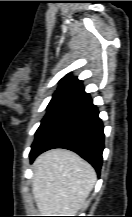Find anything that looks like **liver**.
Masks as SVG:
<instances>
[{"label": "liver", "instance_id": "obj_1", "mask_svg": "<svg viewBox=\"0 0 132 217\" xmlns=\"http://www.w3.org/2000/svg\"><path fill=\"white\" fill-rule=\"evenodd\" d=\"M32 193L43 216H75L94 188V168L76 153L53 149L32 165Z\"/></svg>", "mask_w": 132, "mask_h": 217}]
</instances>
